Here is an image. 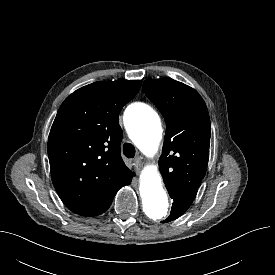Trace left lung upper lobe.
Segmentation results:
<instances>
[{
  "label": "left lung upper lobe",
  "instance_id": "5c2ea615",
  "mask_svg": "<svg viewBox=\"0 0 275 275\" xmlns=\"http://www.w3.org/2000/svg\"><path fill=\"white\" fill-rule=\"evenodd\" d=\"M143 86L166 121L159 159L166 188L197 192L209 159L210 118L205 102L196 90L172 78L148 79Z\"/></svg>",
  "mask_w": 275,
  "mask_h": 275
}]
</instances>
